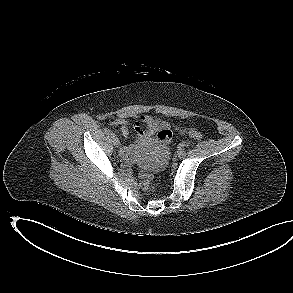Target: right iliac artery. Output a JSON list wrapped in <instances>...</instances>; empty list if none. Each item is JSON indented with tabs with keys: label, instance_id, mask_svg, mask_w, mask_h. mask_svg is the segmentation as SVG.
<instances>
[{
	"label": "right iliac artery",
	"instance_id": "1",
	"mask_svg": "<svg viewBox=\"0 0 293 293\" xmlns=\"http://www.w3.org/2000/svg\"><path fill=\"white\" fill-rule=\"evenodd\" d=\"M105 133H106L107 135H110L111 137L115 136V135L112 133V131L109 130L108 128L105 129Z\"/></svg>",
	"mask_w": 293,
	"mask_h": 293
}]
</instances>
